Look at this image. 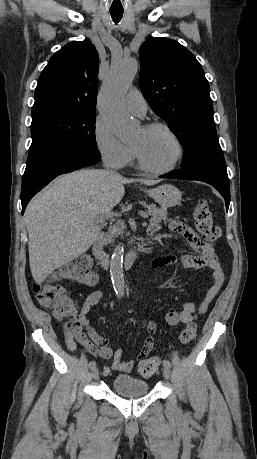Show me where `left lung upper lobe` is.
<instances>
[{"label": "left lung upper lobe", "mask_w": 257, "mask_h": 459, "mask_svg": "<svg viewBox=\"0 0 257 459\" xmlns=\"http://www.w3.org/2000/svg\"><path fill=\"white\" fill-rule=\"evenodd\" d=\"M141 91L185 150L182 164L195 163L206 137L216 135L210 87L201 64L178 42L150 38L140 47Z\"/></svg>", "instance_id": "5c2ea615"}]
</instances>
